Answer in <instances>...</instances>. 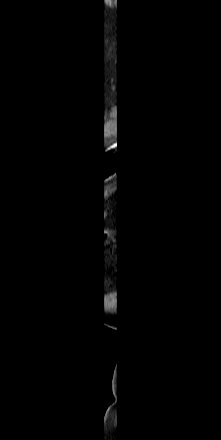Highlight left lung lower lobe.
I'll use <instances>...</instances> for the list:
<instances>
[{"label": "left lung lower lobe", "instance_id": "1", "mask_svg": "<svg viewBox=\"0 0 221 440\" xmlns=\"http://www.w3.org/2000/svg\"><path fill=\"white\" fill-rule=\"evenodd\" d=\"M146 165L137 152L128 151L123 158L112 166L97 171V176L104 178L117 172V174L139 176L146 169Z\"/></svg>", "mask_w": 221, "mask_h": 440}]
</instances>
